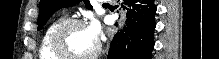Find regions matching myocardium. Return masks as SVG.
I'll return each instance as SVG.
<instances>
[{
	"label": "myocardium",
	"mask_w": 219,
	"mask_h": 59,
	"mask_svg": "<svg viewBox=\"0 0 219 59\" xmlns=\"http://www.w3.org/2000/svg\"><path fill=\"white\" fill-rule=\"evenodd\" d=\"M73 26H85L84 22L77 18H70L62 21L54 30L51 39L52 51L61 59H94L101 51V44L97 40L94 50L85 55H74L70 53L65 47V35L67 31Z\"/></svg>",
	"instance_id": "obj_1"
}]
</instances>
